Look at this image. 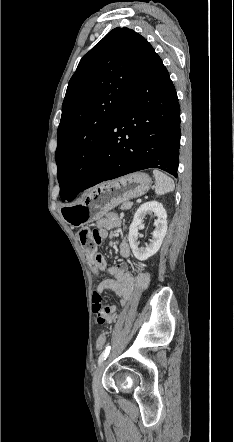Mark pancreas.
<instances>
[{
    "label": "pancreas",
    "mask_w": 234,
    "mask_h": 442,
    "mask_svg": "<svg viewBox=\"0 0 234 442\" xmlns=\"http://www.w3.org/2000/svg\"><path fill=\"white\" fill-rule=\"evenodd\" d=\"M132 205H133V203L131 201H126L121 205L120 209H122V210L130 209Z\"/></svg>",
    "instance_id": "cf45deb5"
}]
</instances>
